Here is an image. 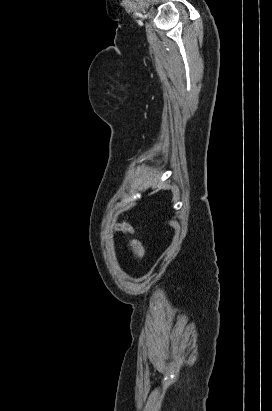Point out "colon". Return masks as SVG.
I'll list each match as a JSON object with an SVG mask.
<instances>
[{
  "instance_id": "5ec220e1",
  "label": "colon",
  "mask_w": 272,
  "mask_h": 411,
  "mask_svg": "<svg viewBox=\"0 0 272 411\" xmlns=\"http://www.w3.org/2000/svg\"><path fill=\"white\" fill-rule=\"evenodd\" d=\"M119 231H120L121 233L127 235V234H131V233H132V228H131L129 225H127V224H122V225L119 227ZM129 248H130L133 256H134L136 259H141V258L143 257V249H142L140 243L137 242L136 240H133V239H132V240L129 241Z\"/></svg>"
}]
</instances>
